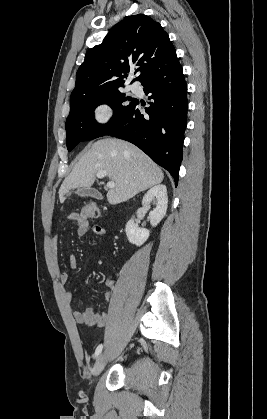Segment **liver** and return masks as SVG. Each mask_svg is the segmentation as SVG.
Instances as JSON below:
<instances>
[{
  "mask_svg": "<svg viewBox=\"0 0 267 419\" xmlns=\"http://www.w3.org/2000/svg\"><path fill=\"white\" fill-rule=\"evenodd\" d=\"M105 171L115 183L107 193L108 202L119 204L162 182V170L138 147L115 138L93 143L79 159L59 189L60 202L74 188H90L96 174Z\"/></svg>",
  "mask_w": 267,
  "mask_h": 419,
  "instance_id": "1",
  "label": "liver"
}]
</instances>
